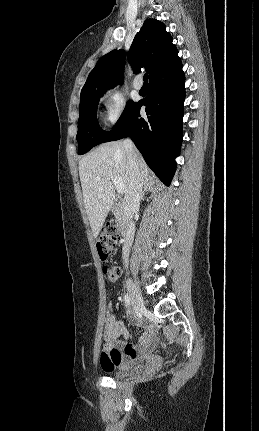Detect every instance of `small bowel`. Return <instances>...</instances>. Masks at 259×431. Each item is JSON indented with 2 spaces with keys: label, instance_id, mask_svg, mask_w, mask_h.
<instances>
[{
  "label": "small bowel",
  "instance_id": "small-bowel-1",
  "mask_svg": "<svg viewBox=\"0 0 259 431\" xmlns=\"http://www.w3.org/2000/svg\"><path fill=\"white\" fill-rule=\"evenodd\" d=\"M141 327L145 329V333L140 341L136 344H128V330L117 320L114 304L112 302L108 304L104 328L105 345L100 356V364L104 371L126 367L145 355V348L154 341V330L147 323H142Z\"/></svg>",
  "mask_w": 259,
  "mask_h": 431
}]
</instances>
